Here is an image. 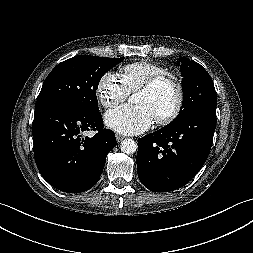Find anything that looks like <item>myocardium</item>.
<instances>
[{"label":"myocardium","mask_w":253,"mask_h":253,"mask_svg":"<svg viewBox=\"0 0 253 253\" xmlns=\"http://www.w3.org/2000/svg\"><path fill=\"white\" fill-rule=\"evenodd\" d=\"M163 84H169L174 89L175 103L167 114L156 119V123L159 125H168L174 122L183 110L185 93L180 79L173 73L165 72L152 77L139 89V91L153 93Z\"/></svg>","instance_id":"myocardium-1"}]
</instances>
